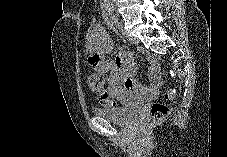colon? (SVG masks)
<instances>
[{
	"label": "colon",
	"instance_id": "1",
	"mask_svg": "<svg viewBox=\"0 0 227 157\" xmlns=\"http://www.w3.org/2000/svg\"><path fill=\"white\" fill-rule=\"evenodd\" d=\"M172 76L175 78V73L172 72ZM88 86L95 92V93H102L104 89V79L102 75L93 72L90 73L87 77ZM176 90L174 88L168 89L165 93V99L171 101L175 98ZM105 105L111 106L114 105L112 102H106ZM151 118L152 121L155 123L161 122L164 120L170 112V109L167 105L163 103H153L151 106Z\"/></svg>",
	"mask_w": 227,
	"mask_h": 157
}]
</instances>
